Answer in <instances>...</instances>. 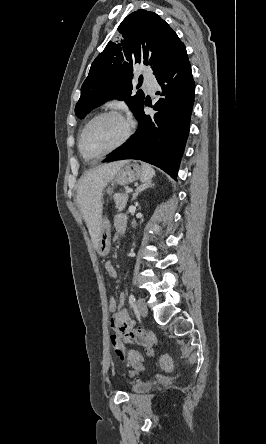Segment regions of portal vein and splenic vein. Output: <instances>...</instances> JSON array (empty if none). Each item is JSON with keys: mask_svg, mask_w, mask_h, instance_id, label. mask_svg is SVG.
<instances>
[{"mask_svg": "<svg viewBox=\"0 0 266 444\" xmlns=\"http://www.w3.org/2000/svg\"><path fill=\"white\" fill-rule=\"evenodd\" d=\"M131 192H132V189H129V190L126 191V194H129Z\"/></svg>", "mask_w": 266, "mask_h": 444, "instance_id": "obj_1", "label": "portal vein and splenic vein"}]
</instances>
